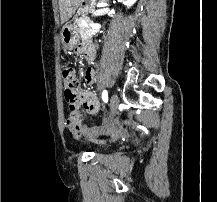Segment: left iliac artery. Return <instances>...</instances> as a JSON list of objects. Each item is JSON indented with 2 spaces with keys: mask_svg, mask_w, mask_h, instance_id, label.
Returning a JSON list of instances; mask_svg holds the SVG:
<instances>
[{
  "mask_svg": "<svg viewBox=\"0 0 217 202\" xmlns=\"http://www.w3.org/2000/svg\"><path fill=\"white\" fill-rule=\"evenodd\" d=\"M102 99L105 103H107L108 101V93H107V90H103L102 92Z\"/></svg>",
  "mask_w": 217,
  "mask_h": 202,
  "instance_id": "obj_1",
  "label": "left iliac artery"
}]
</instances>
